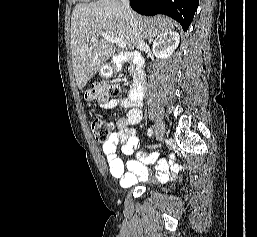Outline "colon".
Segmentation results:
<instances>
[{
	"instance_id": "1",
	"label": "colon",
	"mask_w": 257,
	"mask_h": 237,
	"mask_svg": "<svg viewBox=\"0 0 257 237\" xmlns=\"http://www.w3.org/2000/svg\"><path fill=\"white\" fill-rule=\"evenodd\" d=\"M120 90V86L114 80L101 78L91 86L85 97L89 103L96 104L115 96ZM91 129L96 140L100 142H107L112 136V123L107 119H93Z\"/></svg>"
}]
</instances>
